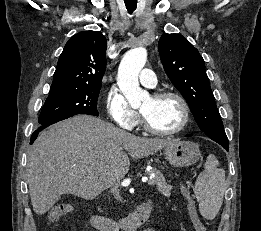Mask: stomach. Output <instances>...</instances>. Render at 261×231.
I'll use <instances>...</instances> for the list:
<instances>
[{
  "label": "stomach",
  "instance_id": "0dacf381",
  "mask_svg": "<svg viewBox=\"0 0 261 231\" xmlns=\"http://www.w3.org/2000/svg\"><path fill=\"white\" fill-rule=\"evenodd\" d=\"M162 151L167 161L175 167L193 165L201 157L198 145L190 141L177 140L167 144Z\"/></svg>",
  "mask_w": 261,
  "mask_h": 231
}]
</instances>
